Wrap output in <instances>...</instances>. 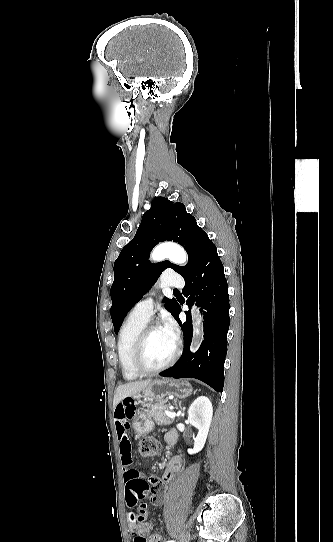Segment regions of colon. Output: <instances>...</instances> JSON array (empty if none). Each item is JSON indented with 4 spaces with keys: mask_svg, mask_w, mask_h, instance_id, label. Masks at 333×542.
Segmentation results:
<instances>
[{
    "mask_svg": "<svg viewBox=\"0 0 333 542\" xmlns=\"http://www.w3.org/2000/svg\"><path fill=\"white\" fill-rule=\"evenodd\" d=\"M138 449L143 458H152L160 451V443L154 438H144L140 441ZM122 471L124 478L130 482L126 484L123 493L126 500L125 512L127 516L125 517V522L128 525L141 524L143 516H146L149 510L146 505L139 504L146 497L149 485L146 481L139 480L141 474L137 471L133 462L129 463L127 461Z\"/></svg>",
    "mask_w": 333,
    "mask_h": 542,
    "instance_id": "obj_1",
    "label": "colon"
}]
</instances>
